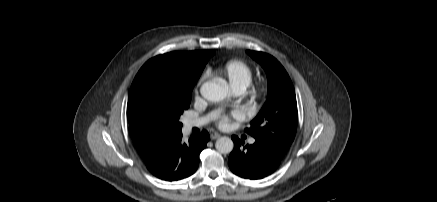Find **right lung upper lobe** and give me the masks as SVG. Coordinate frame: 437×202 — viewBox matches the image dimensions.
<instances>
[{
	"instance_id": "right-lung-upper-lobe-1",
	"label": "right lung upper lobe",
	"mask_w": 437,
	"mask_h": 202,
	"mask_svg": "<svg viewBox=\"0 0 437 202\" xmlns=\"http://www.w3.org/2000/svg\"><path fill=\"white\" fill-rule=\"evenodd\" d=\"M215 53L214 50L171 52L168 53L175 57L180 66L188 72L203 71L210 57ZM202 73V72H201ZM133 143L143 160L150 157L157 149L166 144L173 136L161 138L130 131Z\"/></svg>"
}]
</instances>
